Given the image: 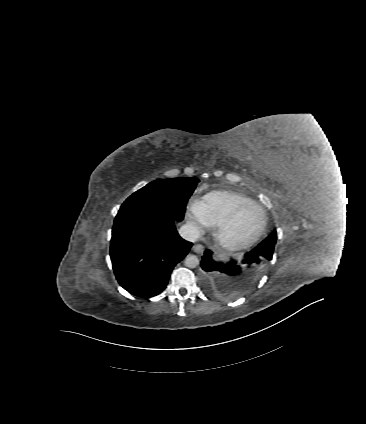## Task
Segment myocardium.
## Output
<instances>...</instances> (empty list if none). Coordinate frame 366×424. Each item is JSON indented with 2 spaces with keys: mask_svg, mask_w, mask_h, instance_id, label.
<instances>
[{
  "mask_svg": "<svg viewBox=\"0 0 366 424\" xmlns=\"http://www.w3.org/2000/svg\"><path fill=\"white\" fill-rule=\"evenodd\" d=\"M256 208L261 215V224L257 232L249 239L246 240H230L227 237V233L230 230V228L236 223L240 215L249 208ZM267 227V218L264 210L257 204V203H246L238 208H236L225 220H223L221 223L215 226L213 230V237L216 242V244L226 251H240L244 250L252 245H254L256 242L259 241V239L264 234Z\"/></svg>",
  "mask_w": 366,
  "mask_h": 424,
  "instance_id": "1",
  "label": "myocardium"
}]
</instances>
